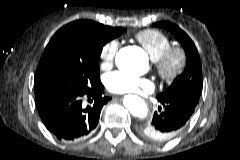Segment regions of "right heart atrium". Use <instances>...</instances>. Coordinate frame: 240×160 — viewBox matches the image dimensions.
<instances>
[{"instance_id":"right-heart-atrium-1","label":"right heart atrium","mask_w":240,"mask_h":160,"mask_svg":"<svg viewBox=\"0 0 240 160\" xmlns=\"http://www.w3.org/2000/svg\"><path fill=\"white\" fill-rule=\"evenodd\" d=\"M118 48L119 43L117 40H111L103 45L99 54L102 68L107 69L113 65Z\"/></svg>"}]
</instances>
